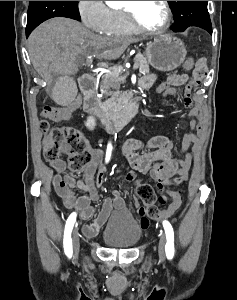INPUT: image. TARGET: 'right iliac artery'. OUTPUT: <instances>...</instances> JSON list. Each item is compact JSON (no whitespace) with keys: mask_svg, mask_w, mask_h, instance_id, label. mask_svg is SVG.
Returning <instances> with one entry per match:
<instances>
[{"mask_svg":"<svg viewBox=\"0 0 237 300\" xmlns=\"http://www.w3.org/2000/svg\"><path fill=\"white\" fill-rule=\"evenodd\" d=\"M112 151V145L109 143L107 146L106 152V162L109 161ZM76 221V213L73 212L66 221L65 230H64V251L65 254L71 258L73 250H72V239H71V232Z\"/></svg>","mask_w":237,"mask_h":300,"instance_id":"right-iliac-artery-1","label":"right iliac artery"}]
</instances>
